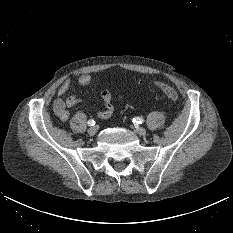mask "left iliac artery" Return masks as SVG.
Segmentation results:
<instances>
[{"label":"left iliac artery","mask_w":233,"mask_h":233,"mask_svg":"<svg viewBox=\"0 0 233 233\" xmlns=\"http://www.w3.org/2000/svg\"><path fill=\"white\" fill-rule=\"evenodd\" d=\"M143 122H144L143 118H140V117L133 118V123L142 124Z\"/></svg>","instance_id":"obj_1"}]
</instances>
